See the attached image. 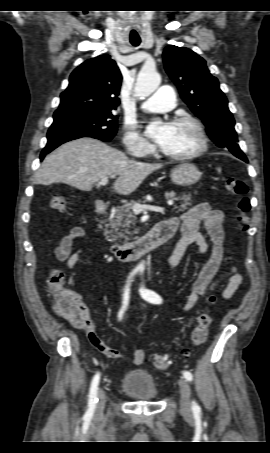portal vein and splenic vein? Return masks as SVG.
Returning a JSON list of instances; mask_svg holds the SVG:
<instances>
[{
    "instance_id": "18ae733b",
    "label": "portal vein and splenic vein",
    "mask_w": 270,
    "mask_h": 453,
    "mask_svg": "<svg viewBox=\"0 0 270 453\" xmlns=\"http://www.w3.org/2000/svg\"><path fill=\"white\" fill-rule=\"evenodd\" d=\"M108 182V178H102L100 180V184L101 185H106ZM169 205H172L173 204V201L170 200L167 202ZM132 210L135 214H139L141 213L142 211L144 210H149V211H156V212H163L164 211V208L163 207H159V206H151V205H143V204H139V203H135L133 204L132 206Z\"/></svg>"
}]
</instances>
